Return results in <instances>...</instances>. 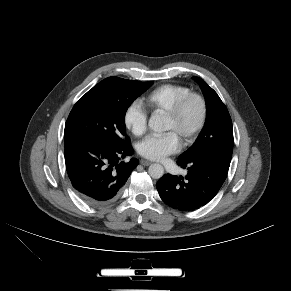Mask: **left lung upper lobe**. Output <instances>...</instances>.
I'll use <instances>...</instances> for the list:
<instances>
[{"label": "left lung upper lobe", "mask_w": 291, "mask_h": 291, "mask_svg": "<svg viewBox=\"0 0 291 291\" xmlns=\"http://www.w3.org/2000/svg\"><path fill=\"white\" fill-rule=\"evenodd\" d=\"M193 79L200 85L206 100L207 118L194 144L178 160L200 157H221L231 160L233 151L232 121L226 106L217 93L199 77Z\"/></svg>", "instance_id": "left-lung-upper-lobe-1"}]
</instances>
